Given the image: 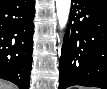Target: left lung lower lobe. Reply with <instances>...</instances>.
I'll list each match as a JSON object with an SVG mask.
<instances>
[{
  "instance_id": "left-lung-lower-lobe-1",
  "label": "left lung lower lobe",
  "mask_w": 107,
  "mask_h": 89,
  "mask_svg": "<svg viewBox=\"0 0 107 89\" xmlns=\"http://www.w3.org/2000/svg\"><path fill=\"white\" fill-rule=\"evenodd\" d=\"M59 63V89H107V2L73 0Z\"/></svg>"
}]
</instances>
